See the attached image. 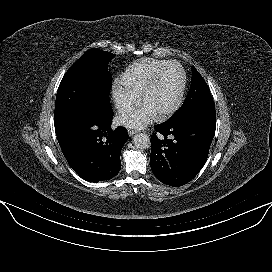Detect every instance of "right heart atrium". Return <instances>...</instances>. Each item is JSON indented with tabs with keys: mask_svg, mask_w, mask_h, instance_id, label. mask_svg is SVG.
I'll list each match as a JSON object with an SVG mask.
<instances>
[{
	"mask_svg": "<svg viewBox=\"0 0 272 272\" xmlns=\"http://www.w3.org/2000/svg\"><path fill=\"white\" fill-rule=\"evenodd\" d=\"M112 96L116 108L120 112H126L136 105L139 94L126 88L121 82H116L112 88Z\"/></svg>",
	"mask_w": 272,
	"mask_h": 272,
	"instance_id": "right-heart-atrium-1",
	"label": "right heart atrium"
}]
</instances>
